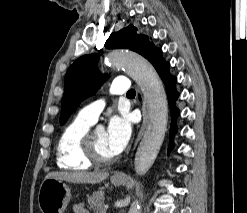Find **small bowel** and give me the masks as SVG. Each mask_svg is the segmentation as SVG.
Listing matches in <instances>:
<instances>
[{"label": "small bowel", "mask_w": 247, "mask_h": 213, "mask_svg": "<svg viewBox=\"0 0 247 213\" xmlns=\"http://www.w3.org/2000/svg\"><path fill=\"white\" fill-rule=\"evenodd\" d=\"M75 213H88L87 210L82 205H76L74 207Z\"/></svg>", "instance_id": "obj_1"}]
</instances>
